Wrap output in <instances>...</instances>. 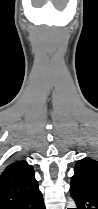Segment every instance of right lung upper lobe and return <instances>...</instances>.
Here are the masks:
<instances>
[{
	"mask_svg": "<svg viewBox=\"0 0 98 209\" xmlns=\"http://www.w3.org/2000/svg\"><path fill=\"white\" fill-rule=\"evenodd\" d=\"M37 190L33 167L24 160L15 161L0 174V209H13Z\"/></svg>",
	"mask_w": 98,
	"mask_h": 209,
	"instance_id": "cb5924a9",
	"label": "right lung upper lobe"
}]
</instances>
